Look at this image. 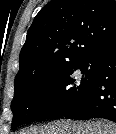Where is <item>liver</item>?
<instances>
[{"label": "liver", "instance_id": "liver-1", "mask_svg": "<svg viewBox=\"0 0 116 134\" xmlns=\"http://www.w3.org/2000/svg\"><path fill=\"white\" fill-rule=\"evenodd\" d=\"M22 134H116V127L102 121L92 123L61 121L27 130Z\"/></svg>", "mask_w": 116, "mask_h": 134}]
</instances>
